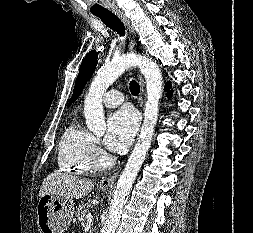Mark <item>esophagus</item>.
<instances>
[{"instance_id": "esophagus-1", "label": "esophagus", "mask_w": 253, "mask_h": 233, "mask_svg": "<svg viewBox=\"0 0 253 233\" xmlns=\"http://www.w3.org/2000/svg\"><path fill=\"white\" fill-rule=\"evenodd\" d=\"M115 14L124 22V24L127 26L130 33L135 35L134 28L130 22V20L120 11H115ZM139 81H140V97H139V103L140 105L144 102V91H145V82L142 77V75H139ZM119 174V171L114 172L112 175H109L108 177L102 179L100 181V185L104 187H110L113 185L114 181L116 180L117 176Z\"/></svg>"}]
</instances>
